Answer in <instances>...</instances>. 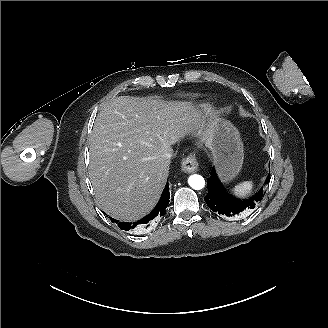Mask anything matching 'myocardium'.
I'll use <instances>...</instances> for the list:
<instances>
[{
  "mask_svg": "<svg viewBox=\"0 0 328 328\" xmlns=\"http://www.w3.org/2000/svg\"><path fill=\"white\" fill-rule=\"evenodd\" d=\"M215 118H216V120H218L219 119V115H217Z\"/></svg>",
  "mask_w": 328,
  "mask_h": 328,
  "instance_id": "1",
  "label": "myocardium"
}]
</instances>
